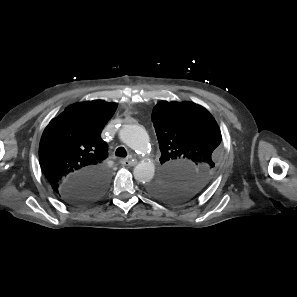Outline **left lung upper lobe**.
I'll return each instance as SVG.
<instances>
[{
  "label": "left lung upper lobe",
  "instance_id": "1",
  "mask_svg": "<svg viewBox=\"0 0 297 297\" xmlns=\"http://www.w3.org/2000/svg\"><path fill=\"white\" fill-rule=\"evenodd\" d=\"M152 121L164 169L148 191L171 203L194 199L220 163L221 132L216 121L205 108L186 101L159 102Z\"/></svg>",
  "mask_w": 297,
  "mask_h": 297
}]
</instances>
